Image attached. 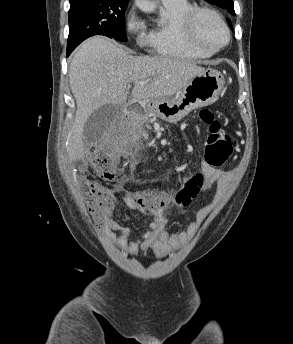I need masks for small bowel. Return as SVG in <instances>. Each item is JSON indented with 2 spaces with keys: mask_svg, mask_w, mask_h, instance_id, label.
<instances>
[{
  "mask_svg": "<svg viewBox=\"0 0 293 344\" xmlns=\"http://www.w3.org/2000/svg\"><path fill=\"white\" fill-rule=\"evenodd\" d=\"M227 178H229V174L226 172L216 170L206 163H202L201 172L197 177L200 183V193L208 192L219 179ZM111 192L115 199L123 203L127 208L145 210L151 218L148 227L140 233L141 242L130 239L133 230L120 224L114 218L108 217L103 222L105 239L129 256H135L139 251L145 253L152 250L157 257L163 258L180 249L192 238L197 228L205 221L216 204L213 202L199 210L194 218L188 220L185 229L171 232L168 229V216L164 209L141 206L132 194L123 191L120 183L116 184Z\"/></svg>",
  "mask_w": 293,
  "mask_h": 344,
  "instance_id": "1",
  "label": "small bowel"
}]
</instances>
